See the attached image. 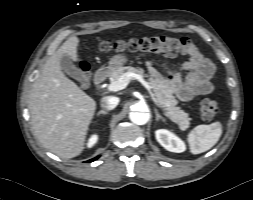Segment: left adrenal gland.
I'll use <instances>...</instances> for the list:
<instances>
[{"label": "left adrenal gland", "mask_w": 253, "mask_h": 200, "mask_svg": "<svg viewBox=\"0 0 253 200\" xmlns=\"http://www.w3.org/2000/svg\"><path fill=\"white\" fill-rule=\"evenodd\" d=\"M156 115V121H159L160 119L164 121V118L158 113L157 109L154 110Z\"/></svg>", "instance_id": "1"}]
</instances>
